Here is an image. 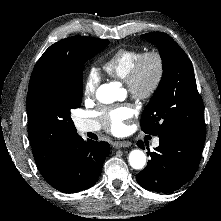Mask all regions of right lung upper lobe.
Here are the masks:
<instances>
[{
	"label": "right lung upper lobe",
	"mask_w": 221,
	"mask_h": 221,
	"mask_svg": "<svg viewBox=\"0 0 221 221\" xmlns=\"http://www.w3.org/2000/svg\"><path fill=\"white\" fill-rule=\"evenodd\" d=\"M83 36H73L51 45L36 63L29 82L27 94L28 134L33 156L42 175L48 174L62 150L80 138L75 126L60 128L36 121L31 112V99L43 74L62 62L71 61Z\"/></svg>",
	"instance_id": "1"
}]
</instances>
